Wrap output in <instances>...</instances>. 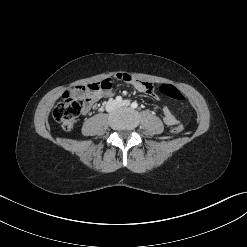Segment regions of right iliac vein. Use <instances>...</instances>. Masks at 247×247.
Returning <instances> with one entry per match:
<instances>
[{"mask_svg": "<svg viewBox=\"0 0 247 247\" xmlns=\"http://www.w3.org/2000/svg\"><path fill=\"white\" fill-rule=\"evenodd\" d=\"M117 106V103L115 101H109L108 105H107V108L109 110H113L115 107Z\"/></svg>", "mask_w": 247, "mask_h": 247, "instance_id": "63e3f726", "label": "right iliac vein"}]
</instances>
